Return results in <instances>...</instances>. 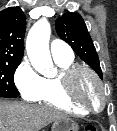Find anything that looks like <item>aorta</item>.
Instances as JSON below:
<instances>
[{
  "mask_svg": "<svg viewBox=\"0 0 117 131\" xmlns=\"http://www.w3.org/2000/svg\"><path fill=\"white\" fill-rule=\"evenodd\" d=\"M50 34L49 22L46 19H40L32 26L26 40L27 55L32 66L47 77H50L54 70L49 50Z\"/></svg>",
  "mask_w": 117,
  "mask_h": 131,
  "instance_id": "1",
  "label": "aorta"
}]
</instances>
